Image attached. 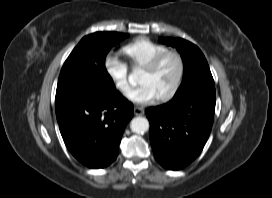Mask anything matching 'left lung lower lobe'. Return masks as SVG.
<instances>
[{
	"instance_id": "obj_1",
	"label": "left lung lower lobe",
	"mask_w": 272,
	"mask_h": 198,
	"mask_svg": "<svg viewBox=\"0 0 272 198\" xmlns=\"http://www.w3.org/2000/svg\"><path fill=\"white\" fill-rule=\"evenodd\" d=\"M215 103V87H200L146 109L151 145L161 166L179 170L200 154L212 128Z\"/></svg>"
}]
</instances>
